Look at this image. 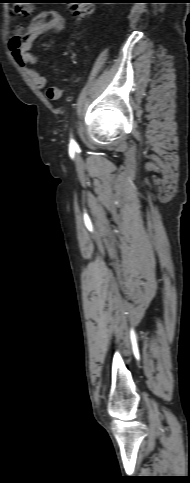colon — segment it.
Returning <instances> with one entry per match:
<instances>
[{
    "instance_id": "5ec220e1",
    "label": "colon",
    "mask_w": 190,
    "mask_h": 483,
    "mask_svg": "<svg viewBox=\"0 0 190 483\" xmlns=\"http://www.w3.org/2000/svg\"><path fill=\"white\" fill-rule=\"evenodd\" d=\"M33 3L35 0H15L11 8V13L17 18L29 17L34 12ZM71 10L77 17H84L92 12V7L88 6L85 0H73Z\"/></svg>"
}]
</instances>
